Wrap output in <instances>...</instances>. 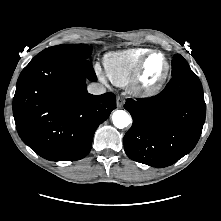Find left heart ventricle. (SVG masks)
Wrapping results in <instances>:
<instances>
[{"label":"left heart ventricle","mask_w":221,"mask_h":221,"mask_svg":"<svg viewBox=\"0 0 221 221\" xmlns=\"http://www.w3.org/2000/svg\"><path fill=\"white\" fill-rule=\"evenodd\" d=\"M165 67V59L161 54H155L151 56L145 69L146 82H155L164 73Z\"/></svg>","instance_id":"left-heart-ventricle-1"}]
</instances>
